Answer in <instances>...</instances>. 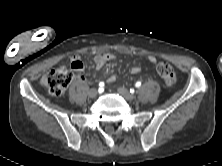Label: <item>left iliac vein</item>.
Returning <instances> with one entry per match:
<instances>
[{
	"mask_svg": "<svg viewBox=\"0 0 222 166\" xmlns=\"http://www.w3.org/2000/svg\"><path fill=\"white\" fill-rule=\"evenodd\" d=\"M118 92L128 101H132L135 99V96L129 92L128 89H126L125 87H120L118 88Z\"/></svg>",
	"mask_w": 222,
	"mask_h": 166,
	"instance_id": "4c4485c4",
	"label": "left iliac vein"
}]
</instances>
